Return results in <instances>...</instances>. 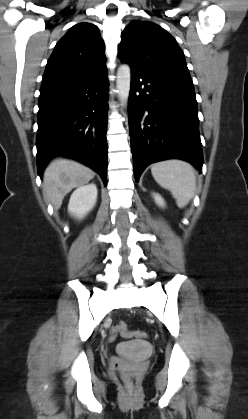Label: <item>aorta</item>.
<instances>
[{
  "instance_id": "1",
  "label": "aorta",
  "mask_w": 248,
  "mask_h": 419,
  "mask_svg": "<svg viewBox=\"0 0 248 419\" xmlns=\"http://www.w3.org/2000/svg\"><path fill=\"white\" fill-rule=\"evenodd\" d=\"M131 69L128 64H122L117 71L116 86L118 98L122 106L128 102L130 93Z\"/></svg>"
}]
</instances>
